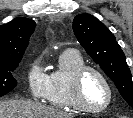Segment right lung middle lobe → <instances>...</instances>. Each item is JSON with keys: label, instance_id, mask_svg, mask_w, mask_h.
Wrapping results in <instances>:
<instances>
[{"label": "right lung middle lobe", "instance_id": "right-lung-middle-lobe-1", "mask_svg": "<svg viewBox=\"0 0 133 118\" xmlns=\"http://www.w3.org/2000/svg\"><path fill=\"white\" fill-rule=\"evenodd\" d=\"M20 61H0V97L10 92L17 81L12 76V72L17 68Z\"/></svg>", "mask_w": 133, "mask_h": 118}]
</instances>
